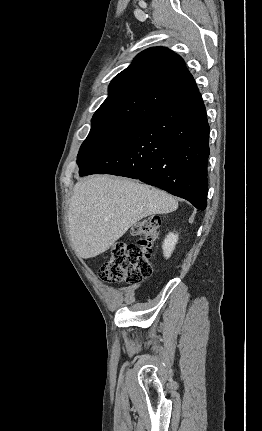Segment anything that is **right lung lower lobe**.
I'll return each instance as SVG.
<instances>
[{
  "instance_id": "98d812e1",
  "label": "right lung lower lobe",
  "mask_w": 262,
  "mask_h": 431,
  "mask_svg": "<svg viewBox=\"0 0 262 431\" xmlns=\"http://www.w3.org/2000/svg\"><path fill=\"white\" fill-rule=\"evenodd\" d=\"M208 141L209 125L199 93L135 124L79 174L106 173L139 179L204 210Z\"/></svg>"
}]
</instances>
